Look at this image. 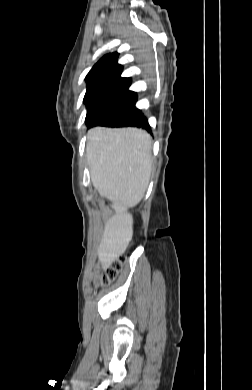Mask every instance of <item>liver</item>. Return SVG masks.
<instances>
[{
    "label": "liver",
    "instance_id": "6515ba94",
    "mask_svg": "<svg viewBox=\"0 0 252 390\" xmlns=\"http://www.w3.org/2000/svg\"><path fill=\"white\" fill-rule=\"evenodd\" d=\"M151 148L150 135L137 128L96 127L88 133L86 154L92 184L115 210L105 222L97 249L103 267L123 254L132 239L133 218L127 209L145 195L152 171Z\"/></svg>",
    "mask_w": 252,
    "mask_h": 390
}]
</instances>
